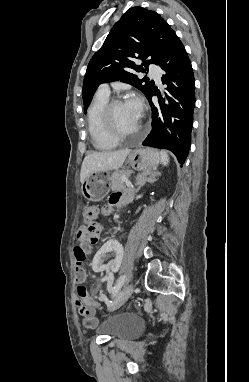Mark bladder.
<instances>
[{"mask_svg":"<svg viewBox=\"0 0 249 382\" xmlns=\"http://www.w3.org/2000/svg\"><path fill=\"white\" fill-rule=\"evenodd\" d=\"M143 329L142 320L135 315L115 316L103 321L98 330L112 339L132 338Z\"/></svg>","mask_w":249,"mask_h":382,"instance_id":"obj_1","label":"bladder"}]
</instances>
